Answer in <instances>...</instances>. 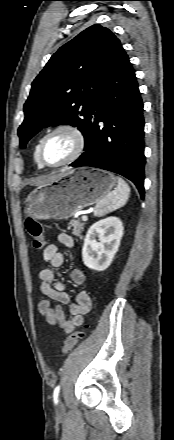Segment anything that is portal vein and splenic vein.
Here are the masks:
<instances>
[{
    "mask_svg": "<svg viewBox=\"0 0 174 440\" xmlns=\"http://www.w3.org/2000/svg\"><path fill=\"white\" fill-rule=\"evenodd\" d=\"M82 220H83V221H87V220H88V217H87L86 215H83V216H82Z\"/></svg>",
    "mask_w": 174,
    "mask_h": 440,
    "instance_id": "obj_1",
    "label": "portal vein and splenic vein"
}]
</instances>
